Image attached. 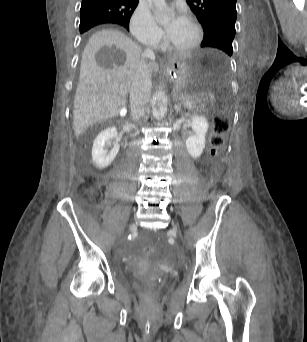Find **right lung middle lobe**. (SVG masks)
Masks as SVG:
<instances>
[{"label": "right lung middle lobe", "mask_w": 307, "mask_h": 342, "mask_svg": "<svg viewBox=\"0 0 307 342\" xmlns=\"http://www.w3.org/2000/svg\"><path fill=\"white\" fill-rule=\"evenodd\" d=\"M80 14V33L99 24L115 22L118 18L117 14L109 11L84 10Z\"/></svg>", "instance_id": "obj_1"}]
</instances>
